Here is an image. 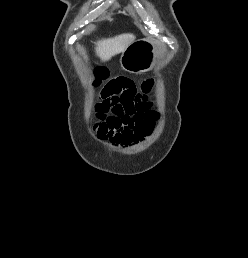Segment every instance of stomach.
Returning <instances> with one entry per match:
<instances>
[{
	"mask_svg": "<svg viewBox=\"0 0 248 258\" xmlns=\"http://www.w3.org/2000/svg\"><path fill=\"white\" fill-rule=\"evenodd\" d=\"M159 45L152 39L133 41L122 53L120 64L123 70L129 73L149 71L159 56Z\"/></svg>",
	"mask_w": 248,
	"mask_h": 258,
	"instance_id": "0dacf381",
	"label": "stomach"
}]
</instances>
